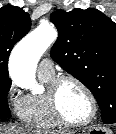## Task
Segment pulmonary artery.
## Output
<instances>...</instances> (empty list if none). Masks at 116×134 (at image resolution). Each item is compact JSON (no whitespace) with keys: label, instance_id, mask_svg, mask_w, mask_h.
Segmentation results:
<instances>
[{"label":"pulmonary artery","instance_id":"e3ab8cb5","mask_svg":"<svg viewBox=\"0 0 116 134\" xmlns=\"http://www.w3.org/2000/svg\"><path fill=\"white\" fill-rule=\"evenodd\" d=\"M54 62L50 58H43L38 65V74H54Z\"/></svg>","mask_w":116,"mask_h":134}]
</instances>
